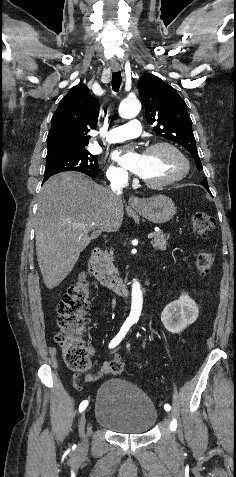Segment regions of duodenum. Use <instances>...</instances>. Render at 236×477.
<instances>
[{
	"label": "duodenum",
	"mask_w": 236,
	"mask_h": 477,
	"mask_svg": "<svg viewBox=\"0 0 236 477\" xmlns=\"http://www.w3.org/2000/svg\"><path fill=\"white\" fill-rule=\"evenodd\" d=\"M88 270L100 286L119 295L126 296L129 294V288L122 278L118 276H108L104 272L101 263V250L99 248H93L91 250Z\"/></svg>",
	"instance_id": "duodenum-1"
}]
</instances>
